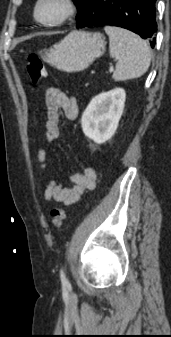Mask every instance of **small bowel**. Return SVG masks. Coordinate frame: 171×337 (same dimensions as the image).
Listing matches in <instances>:
<instances>
[{
    "label": "small bowel",
    "instance_id": "1",
    "mask_svg": "<svg viewBox=\"0 0 171 337\" xmlns=\"http://www.w3.org/2000/svg\"><path fill=\"white\" fill-rule=\"evenodd\" d=\"M47 110L46 136L37 152L40 169H46L47 150L53 141L60 136L64 127L63 118L74 120L78 115V106L74 97L67 95L57 87H50L45 92ZM97 174L92 167H84L82 171L70 175V186L53 179L48 182L44 191L45 202H60L64 205L76 203L85 190L93 189L96 184Z\"/></svg>",
    "mask_w": 171,
    "mask_h": 337
}]
</instances>
